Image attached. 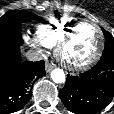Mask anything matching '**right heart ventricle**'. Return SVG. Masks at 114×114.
Wrapping results in <instances>:
<instances>
[{"mask_svg": "<svg viewBox=\"0 0 114 114\" xmlns=\"http://www.w3.org/2000/svg\"><path fill=\"white\" fill-rule=\"evenodd\" d=\"M75 21L76 18L73 16H61L40 23L35 30V39L45 47L54 48Z\"/></svg>", "mask_w": 114, "mask_h": 114, "instance_id": "e07e8e85", "label": "right heart ventricle"}]
</instances>
